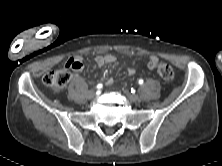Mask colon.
I'll use <instances>...</instances> for the list:
<instances>
[{"label":"colon","instance_id":"5ec220e1","mask_svg":"<svg viewBox=\"0 0 222 166\" xmlns=\"http://www.w3.org/2000/svg\"><path fill=\"white\" fill-rule=\"evenodd\" d=\"M149 68L154 70L163 80L171 81L174 78L173 67L157 59H151ZM71 74L65 69L53 70L43 76V83L55 91L63 89L70 81Z\"/></svg>","mask_w":222,"mask_h":166}]
</instances>
